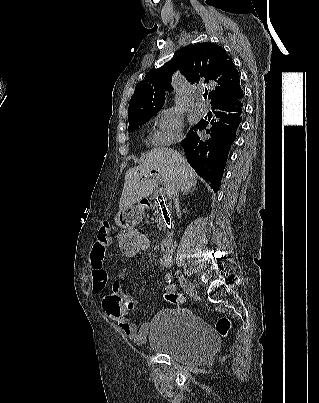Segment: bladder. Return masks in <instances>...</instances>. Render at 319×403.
<instances>
[{
	"label": "bladder",
	"mask_w": 319,
	"mask_h": 403,
	"mask_svg": "<svg viewBox=\"0 0 319 403\" xmlns=\"http://www.w3.org/2000/svg\"><path fill=\"white\" fill-rule=\"evenodd\" d=\"M147 345L185 365L207 362L218 342L210 326L200 317L179 309L158 311L150 322Z\"/></svg>",
	"instance_id": "31cf9c89"
}]
</instances>
